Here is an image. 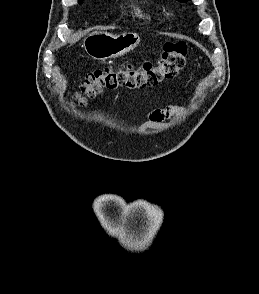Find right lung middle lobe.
I'll return each mask as SVG.
<instances>
[{"label":"right lung middle lobe","mask_w":259,"mask_h":294,"mask_svg":"<svg viewBox=\"0 0 259 294\" xmlns=\"http://www.w3.org/2000/svg\"><path fill=\"white\" fill-rule=\"evenodd\" d=\"M83 1L82 0H79V3H82Z\"/></svg>","instance_id":"1"}]
</instances>
